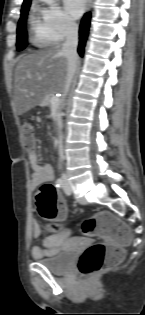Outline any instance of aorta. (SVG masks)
I'll list each match as a JSON object with an SVG mask.
<instances>
[{
	"mask_svg": "<svg viewBox=\"0 0 145 315\" xmlns=\"http://www.w3.org/2000/svg\"><path fill=\"white\" fill-rule=\"evenodd\" d=\"M42 1H44L46 3H53L54 0H42Z\"/></svg>",
	"mask_w": 145,
	"mask_h": 315,
	"instance_id": "762f6f07",
	"label": "aorta"
}]
</instances>
